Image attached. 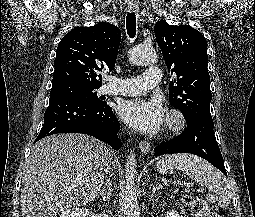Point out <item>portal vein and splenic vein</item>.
Returning <instances> with one entry per match:
<instances>
[{
    "label": "portal vein and splenic vein",
    "mask_w": 255,
    "mask_h": 217,
    "mask_svg": "<svg viewBox=\"0 0 255 217\" xmlns=\"http://www.w3.org/2000/svg\"><path fill=\"white\" fill-rule=\"evenodd\" d=\"M185 191H186V192H189V191H190V189H189V188H187ZM201 192H204V189H201Z\"/></svg>",
    "instance_id": "portal-vein-and-splenic-vein-1"
}]
</instances>
